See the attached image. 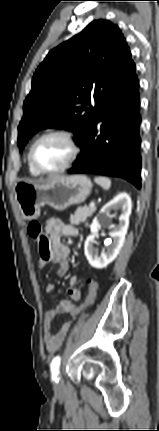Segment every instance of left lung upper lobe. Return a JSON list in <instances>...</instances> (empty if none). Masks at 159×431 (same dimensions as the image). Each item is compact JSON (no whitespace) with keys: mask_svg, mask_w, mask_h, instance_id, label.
Listing matches in <instances>:
<instances>
[{"mask_svg":"<svg viewBox=\"0 0 159 431\" xmlns=\"http://www.w3.org/2000/svg\"><path fill=\"white\" fill-rule=\"evenodd\" d=\"M133 63L117 27L105 20L52 49L34 73L19 124L20 151L41 129L72 131L79 145L98 108ZM94 104V107L87 105Z\"/></svg>","mask_w":159,"mask_h":431,"instance_id":"left-lung-upper-lobe-1","label":"left lung upper lobe"}]
</instances>
